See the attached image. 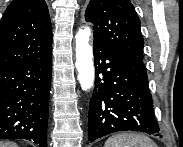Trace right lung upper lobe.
<instances>
[{"label": "right lung upper lobe", "mask_w": 183, "mask_h": 147, "mask_svg": "<svg viewBox=\"0 0 183 147\" xmlns=\"http://www.w3.org/2000/svg\"><path fill=\"white\" fill-rule=\"evenodd\" d=\"M52 50V25L44 0H13L0 22V72Z\"/></svg>", "instance_id": "1"}]
</instances>
